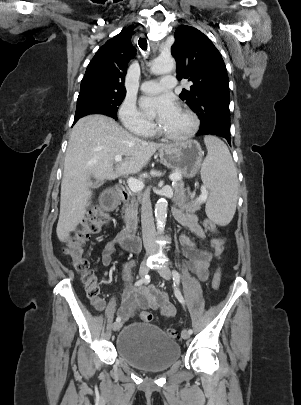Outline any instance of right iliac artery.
I'll return each instance as SVG.
<instances>
[{"mask_svg":"<svg viewBox=\"0 0 301 405\" xmlns=\"http://www.w3.org/2000/svg\"><path fill=\"white\" fill-rule=\"evenodd\" d=\"M150 282V276L149 275H146L144 278H142V279H140V280H138L136 283H135V286H141L142 284H147V283H149ZM121 321V317H117L116 318V322H120Z\"/></svg>","mask_w":301,"mask_h":405,"instance_id":"obj_1","label":"right iliac artery"}]
</instances>
